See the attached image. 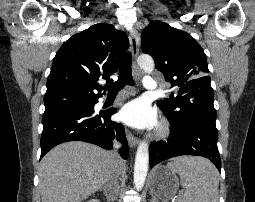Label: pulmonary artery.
<instances>
[{"label":"pulmonary artery","instance_id":"obj_1","mask_svg":"<svg viewBox=\"0 0 255 202\" xmlns=\"http://www.w3.org/2000/svg\"><path fill=\"white\" fill-rule=\"evenodd\" d=\"M143 85H144L145 89H147L149 91H154L157 89V82L151 76H146L144 78Z\"/></svg>","mask_w":255,"mask_h":202}]
</instances>
